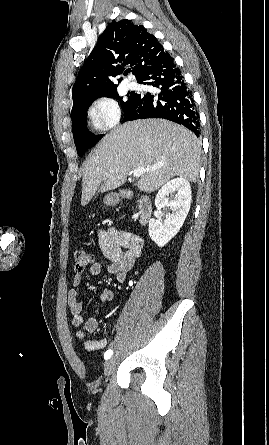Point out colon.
Here are the masks:
<instances>
[{
    "mask_svg": "<svg viewBox=\"0 0 269 445\" xmlns=\"http://www.w3.org/2000/svg\"><path fill=\"white\" fill-rule=\"evenodd\" d=\"M75 269L78 272H83L86 268L90 267L94 262L93 255L84 248H79L75 251Z\"/></svg>",
    "mask_w": 269,
    "mask_h": 445,
    "instance_id": "obj_1",
    "label": "colon"
}]
</instances>
